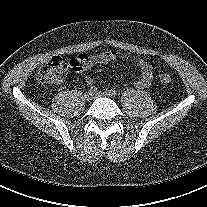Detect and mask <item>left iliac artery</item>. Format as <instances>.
Returning <instances> with one entry per match:
<instances>
[{
	"instance_id": "left-iliac-artery-1",
	"label": "left iliac artery",
	"mask_w": 207,
	"mask_h": 207,
	"mask_svg": "<svg viewBox=\"0 0 207 207\" xmlns=\"http://www.w3.org/2000/svg\"><path fill=\"white\" fill-rule=\"evenodd\" d=\"M109 94H110L111 96H115V95L117 94V92H116L115 89H110V90H109Z\"/></svg>"
}]
</instances>
